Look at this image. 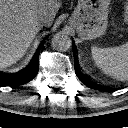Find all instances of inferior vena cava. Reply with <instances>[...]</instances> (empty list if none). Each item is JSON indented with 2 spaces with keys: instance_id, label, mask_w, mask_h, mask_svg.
Segmentation results:
<instances>
[{
  "instance_id": "inferior-vena-cava-1",
  "label": "inferior vena cava",
  "mask_w": 128,
  "mask_h": 128,
  "mask_svg": "<svg viewBox=\"0 0 128 128\" xmlns=\"http://www.w3.org/2000/svg\"><path fill=\"white\" fill-rule=\"evenodd\" d=\"M48 19V14L46 12H43L40 14L39 16V20L42 21V22H46Z\"/></svg>"
}]
</instances>
